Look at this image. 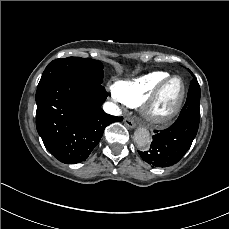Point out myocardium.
<instances>
[{"instance_id":"obj_1","label":"myocardium","mask_w":229,"mask_h":229,"mask_svg":"<svg viewBox=\"0 0 229 229\" xmlns=\"http://www.w3.org/2000/svg\"><path fill=\"white\" fill-rule=\"evenodd\" d=\"M177 79H179L183 85V94H182L181 99L176 104V106L172 110H170L166 115L162 117L153 116L150 112L151 103L156 99V97L159 95L160 91L164 89V87L171 84L173 81ZM187 94H188L187 86L182 77L177 76V75H174L171 77H165L163 80H161L155 86L152 87V89L147 94V96L143 97V103L147 104V109L145 111V114H146L148 121L154 126H163L171 122L173 119H175L180 114L185 104V101L187 99Z\"/></svg>"}]
</instances>
